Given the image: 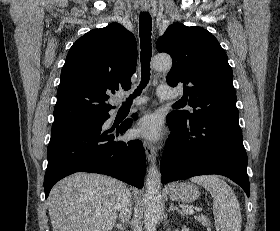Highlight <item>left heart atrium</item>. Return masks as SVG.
Returning <instances> with one entry per match:
<instances>
[{"mask_svg":"<svg viewBox=\"0 0 280 231\" xmlns=\"http://www.w3.org/2000/svg\"><path fill=\"white\" fill-rule=\"evenodd\" d=\"M135 137L150 141H156L161 137L160 120L155 115H146L141 117L133 129Z\"/></svg>","mask_w":280,"mask_h":231,"instance_id":"39dd6f15","label":"left heart atrium"}]
</instances>
